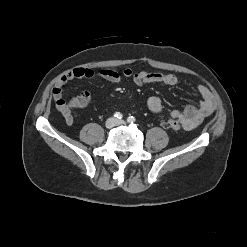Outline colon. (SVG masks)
Returning a JSON list of instances; mask_svg holds the SVG:
<instances>
[{"mask_svg":"<svg viewBox=\"0 0 247 247\" xmlns=\"http://www.w3.org/2000/svg\"><path fill=\"white\" fill-rule=\"evenodd\" d=\"M89 100V93L84 91L73 100V104L76 106H84L89 102ZM163 125L165 128L172 130H178L181 128V124L177 119H168L163 123Z\"/></svg>","mask_w":247,"mask_h":247,"instance_id":"colon-1","label":"colon"}]
</instances>
